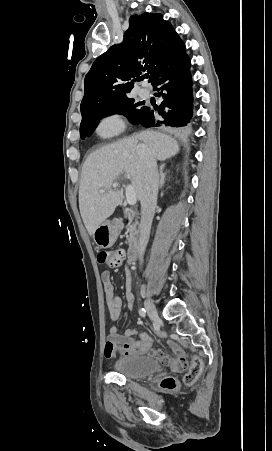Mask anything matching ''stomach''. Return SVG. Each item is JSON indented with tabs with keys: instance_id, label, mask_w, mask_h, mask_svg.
Masks as SVG:
<instances>
[{
	"instance_id": "0dacf381",
	"label": "stomach",
	"mask_w": 272,
	"mask_h": 451,
	"mask_svg": "<svg viewBox=\"0 0 272 451\" xmlns=\"http://www.w3.org/2000/svg\"><path fill=\"white\" fill-rule=\"evenodd\" d=\"M93 239L97 247H111L115 243L118 235V229H116L111 222H102L100 226L94 229Z\"/></svg>"
}]
</instances>
